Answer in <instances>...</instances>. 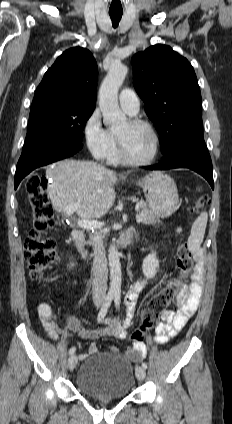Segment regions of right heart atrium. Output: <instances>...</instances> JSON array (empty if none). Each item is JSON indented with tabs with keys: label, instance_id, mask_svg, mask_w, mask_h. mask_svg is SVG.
<instances>
[{
	"label": "right heart atrium",
	"instance_id": "obj_1",
	"mask_svg": "<svg viewBox=\"0 0 232 424\" xmlns=\"http://www.w3.org/2000/svg\"><path fill=\"white\" fill-rule=\"evenodd\" d=\"M83 137L90 153L98 159L106 158L114 145V137L104 128L97 111H94L86 120Z\"/></svg>",
	"mask_w": 232,
	"mask_h": 424
}]
</instances>
